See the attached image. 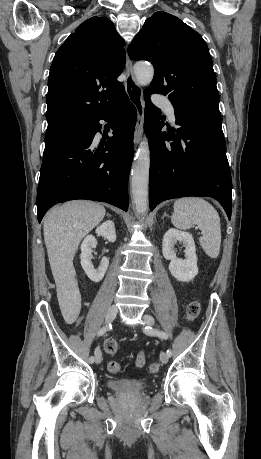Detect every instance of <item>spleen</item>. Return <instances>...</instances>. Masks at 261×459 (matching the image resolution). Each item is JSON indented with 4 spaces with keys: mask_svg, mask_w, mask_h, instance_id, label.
<instances>
[{
    "mask_svg": "<svg viewBox=\"0 0 261 459\" xmlns=\"http://www.w3.org/2000/svg\"><path fill=\"white\" fill-rule=\"evenodd\" d=\"M172 224L181 230L197 225L202 236L199 242L204 252L212 259L219 256L221 245L220 218L216 209L199 197L179 198L174 202Z\"/></svg>",
    "mask_w": 261,
    "mask_h": 459,
    "instance_id": "obj_1",
    "label": "spleen"
}]
</instances>
